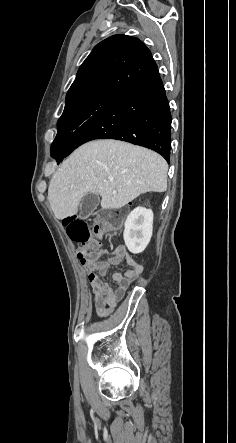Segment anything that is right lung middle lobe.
<instances>
[{"label":"right lung middle lobe","instance_id":"obj_1","mask_svg":"<svg viewBox=\"0 0 236 443\" xmlns=\"http://www.w3.org/2000/svg\"><path fill=\"white\" fill-rule=\"evenodd\" d=\"M112 96V94H98L65 108L58 120V133L51 149H67L71 138L77 133V129Z\"/></svg>","mask_w":236,"mask_h":443}]
</instances>
